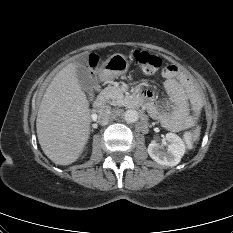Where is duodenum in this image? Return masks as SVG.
<instances>
[{
    "label": "duodenum",
    "instance_id": "obj_1",
    "mask_svg": "<svg viewBox=\"0 0 233 233\" xmlns=\"http://www.w3.org/2000/svg\"><path fill=\"white\" fill-rule=\"evenodd\" d=\"M143 100L142 97H136L133 99V104L137 105ZM106 104V97L104 95H99L94 101V107L96 109H102Z\"/></svg>",
    "mask_w": 233,
    "mask_h": 233
}]
</instances>
